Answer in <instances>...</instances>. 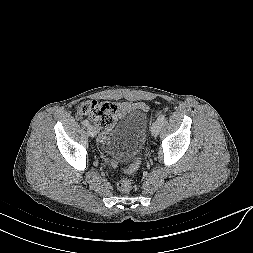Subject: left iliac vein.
<instances>
[{"label": "left iliac vein", "mask_w": 253, "mask_h": 253, "mask_svg": "<svg viewBox=\"0 0 253 253\" xmlns=\"http://www.w3.org/2000/svg\"><path fill=\"white\" fill-rule=\"evenodd\" d=\"M161 130V122L160 121H155L151 127V134L153 136H157Z\"/></svg>", "instance_id": "1"}]
</instances>
